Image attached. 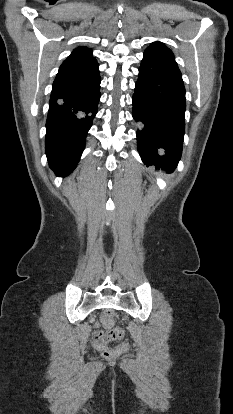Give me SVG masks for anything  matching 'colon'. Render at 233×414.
Segmentation results:
<instances>
[{
	"label": "colon",
	"instance_id": "5ec220e1",
	"mask_svg": "<svg viewBox=\"0 0 233 414\" xmlns=\"http://www.w3.org/2000/svg\"><path fill=\"white\" fill-rule=\"evenodd\" d=\"M114 315L113 310L105 311L100 318L105 330H97L93 334L95 347L101 351L104 357H110L116 352V349L109 348L107 343L124 337V330L122 328H112L114 325Z\"/></svg>",
	"mask_w": 233,
	"mask_h": 414
}]
</instances>
